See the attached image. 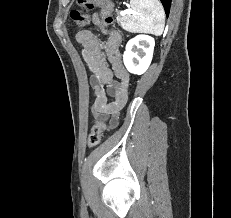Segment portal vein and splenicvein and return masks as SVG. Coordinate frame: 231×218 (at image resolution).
Returning a JSON list of instances; mask_svg holds the SVG:
<instances>
[{
    "instance_id": "18ae733b",
    "label": "portal vein and splenic vein",
    "mask_w": 231,
    "mask_h": 218,
    "mask_svg": "<svg viewBox=\"0 0 231 218\" xmlns=\"http://www.w3.org/2000/svg\"><path fill=\"white\" fill-rule=\"evenodd\" d=\"M130 9H127V10H122V11H120V15L121 16H124L125 14H128V13H130Z\"/></svg>"
}]
</instances>
